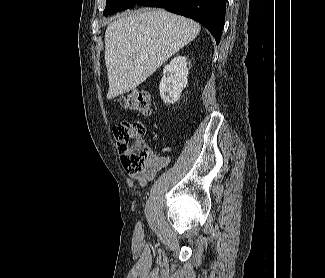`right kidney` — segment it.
Masks as SVG:
<instances>
[{
  "label": "right kidney",
  "mask_w": 325,
  "mask_h": 278,
  "mask_svg": "<svg viewBox=\"0 0 325 278\" xmlns=\"http://www.w3.org/2000/svg\"><path fill=\"white\" fill-rule=\"evenodd\" d=\"M187 58L177 56L165 65L159 85L161 99L165 104H174L180 99L188 80Z\"/></svg>",
  "instance_id": "obj_1"
}]
</instances>
